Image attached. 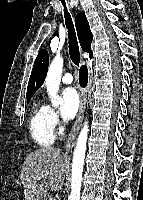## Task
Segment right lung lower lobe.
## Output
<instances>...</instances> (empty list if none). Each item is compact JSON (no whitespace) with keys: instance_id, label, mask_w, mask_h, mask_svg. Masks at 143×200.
<instances>
[{"instance_id":"98d812e1","label":"right lung lower lobe","mask_w":143,"mask_h":200,"mask_svg":"<svg viewBox=\"0 0 143 200\" xmlns=\"http://www.w3.org/2000/svg\"><path fill=\"white\" fill-rule=\"evenodd\" d=\"M87 81H88V70H87L86 66H82L80 68V71H79V82H80V85L82 87H85L86 84H87Z\"/></svg>"}]
</instances>
